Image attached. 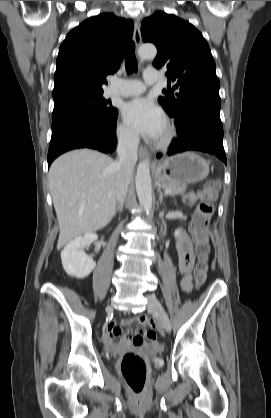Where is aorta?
Returning <instances> with one entry per match:
<instances>
[{
	"instance_id": "obj_1",
	"label": "aorta",
	"mask_w": 271,
	"mask_h": 418,
	"mask_svg": "<svg viewBox=\"0 0 271 418\" xmlns=\"http://www.w3.org/2000/svg\"><path fill=\"white\" fill-rule=\"evenodd\" d=\"M138 52L142 58L153 59L157 55V49L152 44L142 45ZM135 183L139 203L146 214L150 216L153 213V208L150 164L148 160H143L138 164Z\"/></svg>"
}]
</instances>
